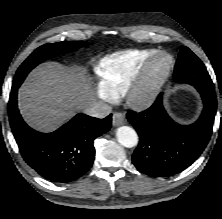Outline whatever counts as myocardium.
<instances>
[{
    "instance_id": "obj_1",
    "label": "myocardium",
    "mask_w": 222,
    "mask_h": 219,
    "mask_svg": "<svg viewBox=\"0 0 222 219\" xmlns=\"http://www.w3.org/2000/svg\"><path fill=\"white\" fill-rule=\"evenodd\" d=\"M164 61L161 72L155 76L156 66ZM174 68V58L165 51H157L142 66L136 78L125 90L127 103L137 109L149 106L159 95Z\"/></svg>"
}]
</instances>
